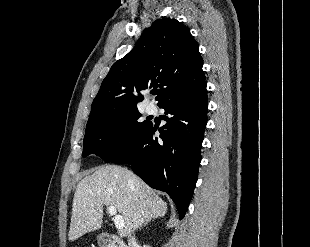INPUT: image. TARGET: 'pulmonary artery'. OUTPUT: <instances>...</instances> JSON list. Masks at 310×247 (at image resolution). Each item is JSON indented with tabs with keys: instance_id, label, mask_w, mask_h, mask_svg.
<instances>
[{
	"instance_id": "obj_1",
	"label": "pulmonary artery",
	"mask_w": 310,
	"mask_h": 247,
	"mask_svg": "<svg viewBox=\"0 0 310 247\" xmlns=\"http://www.w3.org/2000/svg\"><path fill=\"white\" fill-rule=\"evenodd\" d=\"M146 112L149 113V114H153L156 112V107L154 104L152 103H149L147 106H146Z\"/></svg>"
}]
</instances>
